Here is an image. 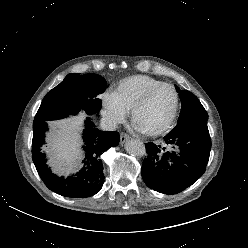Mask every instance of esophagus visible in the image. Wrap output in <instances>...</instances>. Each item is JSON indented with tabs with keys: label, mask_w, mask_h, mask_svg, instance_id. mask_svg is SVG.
Masks as SVG:
<instances>
[{
	"label": "esophagus",
	"mask_w": 248,
	"mask_h": 248,
	"mask_svg": "<svg viewBox=\"0 0 248 248\" xmlns=\"http://www.w3.org/2000/svg\"><path fill=\"white\" fill-rule=\"evenodd\" d=\"M129 135L126 133H121L120 134V144H124L128 139H129Z\"/></svg>",
	"instance_id": "1"
}]
</instances>
